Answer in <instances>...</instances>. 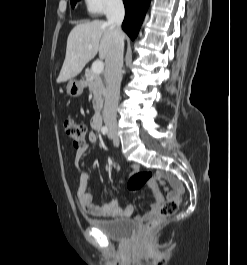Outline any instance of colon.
Returning <instances> with one entry per match:
<instances>
[{
	"label": "colon",
	"instance_id": "obj_1",
	"mask_svg": "<svg viewBox=\"0 0 247 265\" xmlns=\"http://www.w3.org/2000/svg\"><path fill=\"white\" fill-rule=\"evenodd\" d=\"M64 129L75 148L78 149L85 146L89 133L83 123L73 119H67L64 121ZM166 182L172 184L174 179L161 172L138 171L129 178L127 186L130 191L136 192L145 186L153 190L159 187V184L164 185ZM180 201L181 196L163 201L158 213L147 222L144 231L150 232L157 229L166 218L175 215Z\"/></svg>",
	"mask_w": 247,
	"mask_h": 265
}]
</instances>
